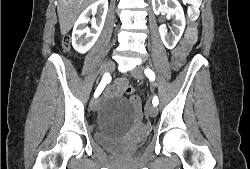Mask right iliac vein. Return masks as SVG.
I'll use <instances>...</instances> for the list:
<instances>
[{
    "instance_id": "obj_1",
    "label": "right iliac vein",
    "mask_w": 250,
    "mask_h": 169,
    "mask_svg": "<svg viewBox=\"0 0 250 169\" xmlns=\"http://www.w3.org/2000/svg\"><path fill=\"white\" fill-rule=\"evenodd\" d=\"M114 68H115L114 62L107 61L102 65L100 73L101 75H104L105 73H108V71H113ZM98 106H99L98 99L95 97L90 102L91 110L96 111L98 109Z\"/></svg>"
}]
</instances>
